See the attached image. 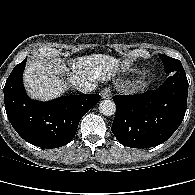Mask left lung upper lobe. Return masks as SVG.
I'll return each mask as SVG.
<instances>
[{
	"instance_id": "5c2ea615",
	"label": "left lung upper lobe",
	"mask_w": 195,
	"mask_h": 195,
	"mask_svg": "<svg viewBox=\"0 0 195 195\" xmlns=\"http://www.w3.org/2000/svg\"><path fill=\"white\" fill-rule=\"evenodd\" d=\"M160 59L163 62L166 73L184 72L181 62L177 59L171 58L164 54H159Z\"/></svg>"
}]
</instances>
